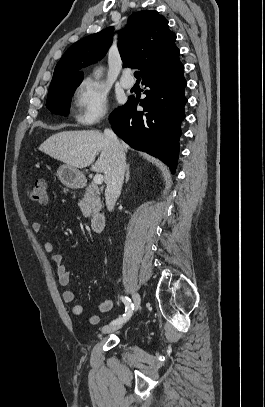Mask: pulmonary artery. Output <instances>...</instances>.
Segmentation results:
<instances>
[{"mask_svg": "<svg viewBox=\"0 0 265 407\" xmlns=\"http://www.w3.org/2000/svg\"><path fill=\"white\" fill-rule=\"evenodd\" d=\"M130 70H125L120 77V84L125 89H130L134 86V80L130 77Z\"/></svg>", "mask_w": 265, "mask_h": 407, "instance_id": "pulmonary-artery-1", "label": "pulmonary artery"}]
</instances>
